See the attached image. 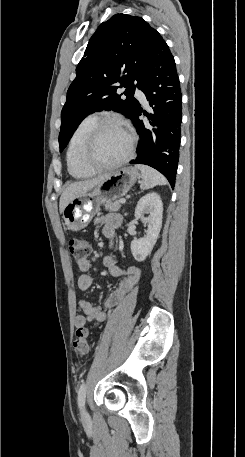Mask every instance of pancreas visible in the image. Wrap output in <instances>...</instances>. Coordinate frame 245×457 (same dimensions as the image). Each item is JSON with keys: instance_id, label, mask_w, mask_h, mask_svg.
<instances>
[{"instance_id": "obj_1", "label": "pancreas", "mask_w": 245, "mask_h": 457, "mask_svg": "<svg viewBox=\"0 0 245 457\" xmlns=\"http://www.w3.org/2000/svg\"><path fill=\"white\" fill-rule=\"evenodd\" d=\"M122 202L119 200H114V202H105L104 208L105 210H110V212H114V210H119Z\"/></svg>"}]
</instances>
